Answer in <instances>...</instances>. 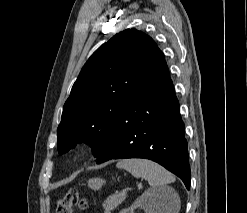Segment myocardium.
<instances>
[{"label": "myocardium", "mask_w": 247, "mask_h": 213, "mask_svg": "<svg viewBox=\"0 0 247 213\" xmlns=\"http://www.w3.org/2000/svg\"><path fill=\"white\" fill-rule=\"evenodd\" d=\"M84 153H85V150L83 148H79L75 151V154H74V159L76 161H79L83 158L84 156Z\"/></svg>", "instance_id": "1"}]
</instances>
